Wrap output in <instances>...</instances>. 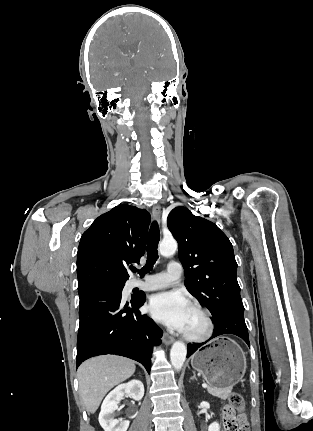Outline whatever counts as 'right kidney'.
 <instances>
[{"label": "right kidney", "mask_w": 313, "mask_h": 431, "mask_svg": "<svg viewBox=\"0 0 313 431\" xmlns=\"http://www.w3.org/2000/svg\"><path fill=\"white\" fill-rule=\"evenodd\" d=\"M139 401L144 396V386L139 380H131L128 383L118 385L104 399L99 414V423L104 431H127L129 421L115 418V411L124 395Z\"/></svg>", "instance_id": "obj_1"}]
</instances>
